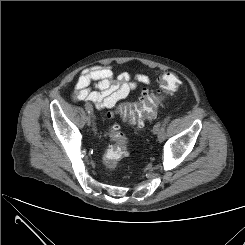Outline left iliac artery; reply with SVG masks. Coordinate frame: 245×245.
Masks as SVG:
<instances>
[{
    "label": "left iliac artery",
    "instance_id": "obj_1",
    "mask_svg": "<svg viewBox=\"0 0 245 245\" xmlns=\"http://www.w3.org/2000/svg\"><path fill=\"white\" fill-rule=\"evenodd\" d=\"M170 119H171V116H167L164 119V121L162 122L161 127L159 128L160 134H161V136L163 138H165V135H166V133H165L166 125L168 124V122L170 121Z\"/></svg>",
    "mask_w": 245,
    "mask_h": 245
}]
</instances>
